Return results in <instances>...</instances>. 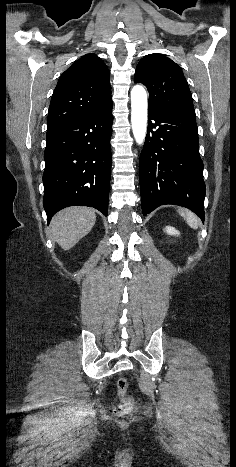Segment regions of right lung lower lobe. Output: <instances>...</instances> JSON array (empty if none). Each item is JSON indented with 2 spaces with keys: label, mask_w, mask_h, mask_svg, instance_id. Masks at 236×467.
I'll list each match as a JSON object with an SVG mask.
<instances>
[{
  "label": "right lung lower lobe",
  "mask_w": 236,
  "mask_h": 467,
  "mask_svg": "<svg viewBox=\"0 0 236 467\" xmlns=\"http://www.w3.org/2000/svg\"><path fill=\"white\" fill-rule=\"evenodd\" d=\"M113 102L68 124L47 130L43 205L48 222L73 205L108 215Z\"/></svg>",
  "instance_id": "1"
}]
</instances>
